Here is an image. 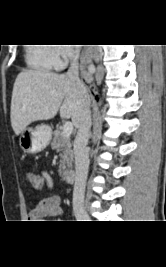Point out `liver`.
Segmentation results:
<instances>
[{
	"label": "liver",
	"mask_w": 166,
	"mask_h": 267,
	"mask_svg": "<svg viewBox=\"0 0 166 267\" xmlns=\"http://www.w3.org/2000/svg\"><path fill=\"white\" fill-rule=\"evenodd\" d=\"M90 97L65 74L42 71H23L18 74L11 99V125L16 135L41 120L55 117L71 118L79 127L82 113Z\"/></svg>",
	"instance_id": "obj_1"
}]
</instances>
